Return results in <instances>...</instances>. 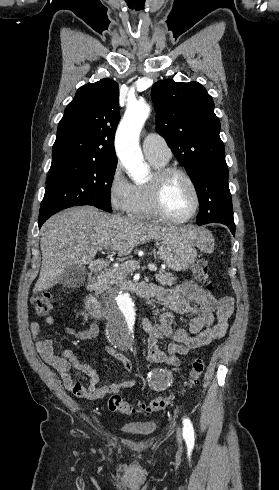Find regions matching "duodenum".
I'll use <instances>...</instances> for the list:
<instances>
[{"mask_svg": "<svg viewBox=\"0 0 279 490\" xmlns=\"http://www.w3.org/2000/svg\"><path fill=\"white\" fill-rule=\"evenodd\" d=\"M104 262L102 260H95L91 263V270L94 273H99L104 269ZM119 291L133 292L141 297L148 296V285L143 282L125 281L120 287ZM85 307L87 312L94 318H102L108 312V302L106 300L100 301L94 295H88L85 300Z\"/></svg>", "mask_w": 279, "mask_h": 490, "instance_id": "obj_1", "label": "duodenum"}]
</instances>
